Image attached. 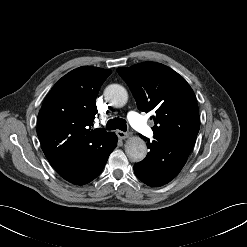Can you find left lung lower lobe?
<instances>
[{"mask_svg": "<svg viewBox=\"0 0 247 247\" xmlns=\"http://www.w3.org/2000/svg\"><path fill=\"white\" fill-rule=\"evenodd\" d=\"M147 147L150 152L143 161L134 165V172L142 182L153 187L162 186L174 179L193 148L182 141L160 143L155 140L148 142Z\"/></svg>", "mask_w": 247, "mask_h": 247, "instance_id": "0a47b994", "label": "left lung lower lobe"}]
</instances>
